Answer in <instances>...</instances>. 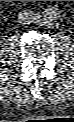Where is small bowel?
Returning <instances> with one entry per match:
<instances>
[{"instance_id": "1", "label": "small bowel", "mask_w": 74, "mask_h": 122, "mask_svg": "<svg viewBox=\"0 0 74 122\" xmlns=\"http://www.w3.org/2000/svg\"><path fill=\"white\" fill-rule=\"evenodd\" d=\"M56 14H57V12H56V8L55 7L50 6V7H48L46 9V15H48L49 18L55 19L56 18Z\"/></svg>"}]
</instances>
